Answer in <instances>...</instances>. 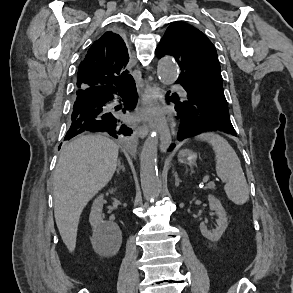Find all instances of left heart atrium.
<instances>
[{
	"label": "left heart atrium",
	"mask_w": 293,
	"mask_h": 293,
	"mask_svg": "<svg viewBox=\"0 0 293 293\" xmlns=\"http://www.w3.org/2000/svg\"><path fill=\"white\" fill-rule=\"evenodd\" d=\"M153 115H154V112L152 110H148L144 113L145 118H151L153 117Z\"/></svg>",
	"instance_id": "obj_1"
}]
</instances>
